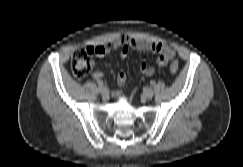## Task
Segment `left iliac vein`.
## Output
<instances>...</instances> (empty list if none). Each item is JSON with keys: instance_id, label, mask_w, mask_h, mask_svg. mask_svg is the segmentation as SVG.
<instances>
[{"instance_id": "4c4485c4", "label": "left iliac vein", "mask_w": 243, "mask_h": 167, "mask_svg": "<svg viewBox=\"0 0 243 167\" xmlns=\"http://www.w3.org/2000/svg\"><path fill=\"white\" fill-rule=\"evenodd\" d=\"M143 96L146 99H151L154 96V91L151 88H146L143 91Z\"/></svg>"}]
</instances>
